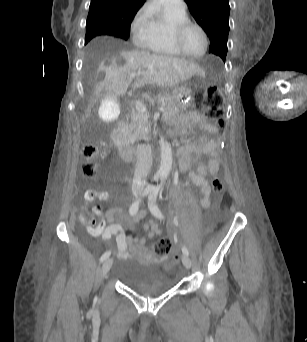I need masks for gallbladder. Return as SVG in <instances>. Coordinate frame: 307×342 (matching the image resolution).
Masks as SVG:
<instances>
[{
    "instance_id": "bac80fb5",
    "label": "gallbladder",
    "mask_w": 307,
    "mask_h": 342,
    "mask_svg": "<svg viewBox=\"0 0 307 342\" xmlns=\"http://www.w3.org/2000/svg\"><path fill=\"white\" fill-rule=\"evenodd\" d=\"M120 100L116 96L104 99L100 104V112L103 123H114L115 118H119Z\"/></svg>"
}]
</instances>
